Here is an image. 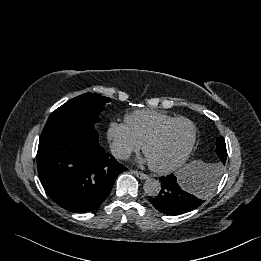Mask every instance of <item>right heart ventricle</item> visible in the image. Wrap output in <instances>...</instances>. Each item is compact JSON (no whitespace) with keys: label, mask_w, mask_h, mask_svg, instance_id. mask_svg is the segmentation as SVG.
<instances>
[{"label":"right heart ventricle","mask_w":261,"mask_h":261,"mask_svg":"<svg viewBox=\"0 0 261 261\" xmlns=\"http://www.w3.org/2000/svg\"><path fill=\"white\" fill-rule=\"evenodd\" d=\"M175 117L163 111L153 109H140L125 116V124L135 137L143 145L144 141L162 124Z\"/></svg>","instance_id":"obj_1"}]
</instances>
